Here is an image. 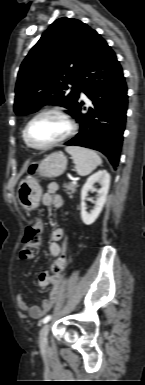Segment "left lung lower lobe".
<instances>
[{"label": "left lung lower lobe", "mask_w": 145, "mask_h": 385, "mask_svg": "<svg viewBox=\"0 0 145 385\" xmlns=\"http://www.w3.org/2000/svg\"><path fill=\"white\" fill-rule=\"evenodd\" d=\"M81 91L92 100L93 107L86 111L79 101L73 118L80 124V132L65 145L98 150L116 167L126 122L127 86L114 51L97 33L80 74Z\"/></svg>", "instance_id": "0a47b994"}]
</instances>
